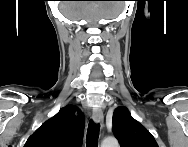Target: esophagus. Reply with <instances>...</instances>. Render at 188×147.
<instances>
[{"instance_id":"34e87169","label":"esophagus","mask_w":188,"mask_h":147,"mask_svg":"<svg viewBox=\"0 0 188 147\" xmlns=\"http://www.w3.org/2000/svg\"><path fill=\"white\" fill-rule=\"evenodd\" d=\"M92 119L96 124L103 123L104 116H103V112L100 108H96L93 110Z\"/></svg>"}]
</instances>
